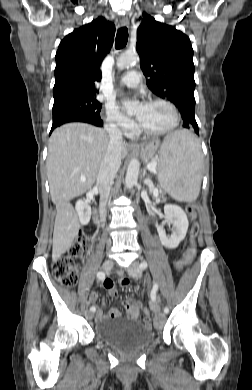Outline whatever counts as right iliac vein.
<instances>
[{
  "mask_svg": "<svg viewBox=\"0 0 252 390\" xmlns=\"http://www.w3.org/2000/svg\"><path fill=\"white\" fill-rule=\"evenodd\" d=\"M113 267L112 260L108 259L103 262L102 268L105 272H109ZM85 316L88 320H91L93 318V312L91 310H87L85 312Z\"/></svg>",
  "mask_w": 252,
  "mask_h": 390,
  "instance_id": "1",
  "label": "right iliac vein"
}]
</instances>
